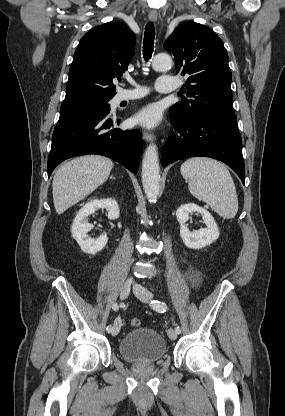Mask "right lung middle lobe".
<instances>
[{"instance_id":"1","label":"right lung middle lobe","mask_w":285,"mask_h":416,"mask_svg":"<svg viewBox=\"0 0 285 416\" xmlns=\"http://www.w3.org/2000/svg\"><path fill=\"white\" fill-rule=\"evenodd\" d=\"M107 100H76L63 102L61 105L60 117L89 114V113H109L110 105Z\"/></svg>"}]
</instances>
